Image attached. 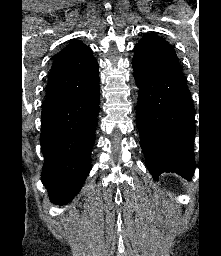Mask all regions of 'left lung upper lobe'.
Masks as SVG:
<instances>
[{
	"label": "left lung upper lobe",
	"instance_id": "obj_1",
	"mask_svg": "<svg viewBox=\"0 0 221 256\" xmlns=\"http://www.w3.org/2000/svg\"><path fill=\"white\" fill-rule=\"evenodd\" d=\"M132 66L139 73L183 75L172 46L154 34H146L135 45Z\"/></svg>",
	"mask_w": 221,
	"mask_h": 256
}]
</instances>
